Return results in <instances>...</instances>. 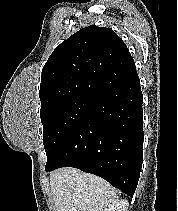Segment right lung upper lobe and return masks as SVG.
Masks as SVG:
<instances>
[{
    "mask_svg": "<svg viewBox=\"0 0 178 211\" xmlns=\"http://www.w3.org/2000/svg\"><path fill=\"white\" fill-rule=\"evenodd\" d=\"M137 76L130 52L110 28L88 26L62 42L42 69L41 110L70 99H98Z\"/></svg>",
    "mask_w": 178,
    "mask_h": 211,
    "instance_id": "obj_1",
    "label": "right lung upper lobe"
}]
</instances>
